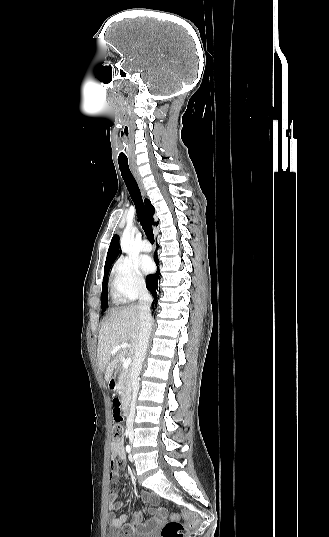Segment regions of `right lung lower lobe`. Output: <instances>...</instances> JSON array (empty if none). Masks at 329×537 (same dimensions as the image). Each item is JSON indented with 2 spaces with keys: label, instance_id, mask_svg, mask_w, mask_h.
<instances>
[{
  "label": "right lung lower lobe",
  "instance_id": "obj_1",
  "mask_svg": "<svg viewBox=\"0 0 329 537\" xmlns=\"http://www.w3.org/2000/svg\"><path fill=\"white\" fill-rule=\"evenodd\" d=\"M155 263L158 266L159 260L157 258V253L154 257ZM158 279H159V270L152 275H148L146 279V286L147 289L151 292L152 296L154 297V300L157 299V292H158ZM152 307H154V303H152Z\"/></svg>",
  "mask_w": 329,
  "mask_h": 537
}]
</instances>
